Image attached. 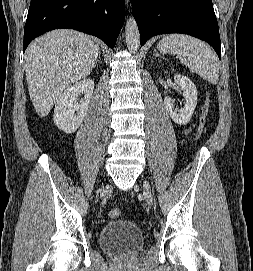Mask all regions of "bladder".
Here are the masks:
<instances>
[{"label":"bladder","mask_w":253,"mask_h":271,"mask_svg":"<svg viewBox=\"0 0 253 271\" xmlns=\"http://www.w3.org/2000/svg\"><path fill=\"white\" fill-rule=\"evenodd\" d=\"M97 242L105 253L116 257H131L142 250L145 237L136 223L130 220H114L99 230Z\"/></svg>","instance_id":"1"}]
</instances>
